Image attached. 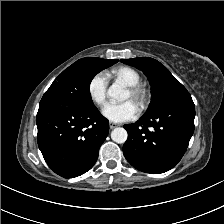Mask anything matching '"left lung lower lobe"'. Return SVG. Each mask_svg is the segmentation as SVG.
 Masks as SVG:
<instances>
[{
	"label": "left lung lower lobe",
	"instance_id": "obj_1",
	"mask_svg": "<svg viewBox=\"0 0 224 224\" xmlns=\"http://www.w3.org/2000/svg\"><path fill=\"white\" fill-rule=\"evenodd\" d=\"M194 117L195 106L191 98L125 125L128 132L123 146L125 158L147 173L158 174L172 169L188 147L194 132ZM149 127H152L151 131Z\"/></svg>",
	"mask_w": 224,
	"mask_h": 224
}]
</instances>
